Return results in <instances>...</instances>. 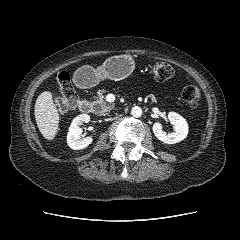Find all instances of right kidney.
<instances>
[{
    "label": "right kidney",
    "instance_id": "obj_1",
    "mask_svg": "<svg viewBox=\"0 0 240 240\" xmlns=\"http://www.w3.org/2000/svg\"><path fill=\"white\" fill-rule=\"evenodd\" d=\"M90 121V116L87 114H81L75 117L69 127V132L67 135V144L73 150L84 149L89 146L93 139L92 137H85L80 139L82 134V129L79 127L83 122L88 123Z\"/></svg>",
    "mask_w": 240,
    "mask_h": 240
}]
</instances>
